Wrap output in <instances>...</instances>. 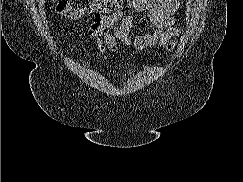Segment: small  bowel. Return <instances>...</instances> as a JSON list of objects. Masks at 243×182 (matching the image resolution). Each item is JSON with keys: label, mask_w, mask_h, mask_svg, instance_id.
Listing matches in <instances>:
<instances>
[{"label": "small bowel", "mask_w": 243, "mask_h": 182, "mask_svg": "<svg viewBox=\"0 0 243 182\" xmlns=\"http://www.w3.org/2000/svg\"><path fill=\"white\" fill-rule=\"evenodd\" d=\"M135 12H147L152 29L132 38L130 31L135 18L118 11L109 15L95 14L88 26L90 37L98 47L95 58L107 59V51L119 53V42L135 51L161 48L170 51L175 47L180 29L176 26L179 0H128ZM85 42L88 36L83 34Z\"/></svg>", "instance_id": "1"}]
</instances>
